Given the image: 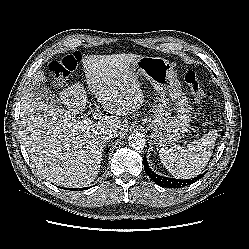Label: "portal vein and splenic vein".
Here are the masks:
<instances>
[{
	"label": "portal vein and splenic vein",
	"mask_w": 249,
	"mask_h": 249,
	"mask_svg": "<svg viewBox=\"0 0 249 249\" xmlns=\"http://www.w3.org/2000/svg\"><path fill=\"white\" fill-rule=\"evenodd\" d=\"M101 115V112L99 111V110H96L95 111V116H100ZM90 119H82V120H80L78 123H77V126H80V127H82V126H84V125H88L89 123H90Z\"/></svg>",
	"instance_id": "18ae733b"
}]
</instances>
